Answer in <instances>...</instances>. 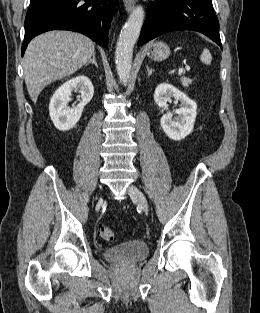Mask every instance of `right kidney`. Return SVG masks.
Instances as JSON below:
<instances>
[{
    "instance_id": "ca27d5eb",
    "label": "right kidney",
    "mask_w": 260,
    "mask_h": 313,
    "mask_svg": "<svg viewBox=\"0 0 260 313\" xmlns=\"http://www.w3.org/2000/svg\"><path fill=\"white\" fill-rule=\"evenodd\" d=\"M73 90H78L82 100L75 106L69 107L68 102ZM94 94V87L86 76H78L66 81L53 94L49 113L55 127L61 131L73 128L79 121L84 106L88 104Z\"/></svg>"
}]
</instances>
